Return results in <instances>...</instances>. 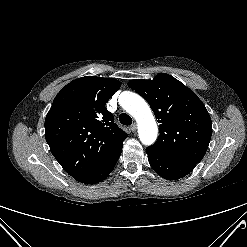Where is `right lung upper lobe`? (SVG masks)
<instances>
[{
	"label": "right lung upper lobe",
	"mask_w": 247,
	"mask_h": 247,
	"mask_svg": "<svg viewBox=\"0 0 247 247\" xmlns=\"http://www.w3.org/2000/svg\"><path fill=\"white\" fill-rule=\"evenodd\" d=\"M120 86L116 79L86 76L67 84L53 101L45 138L53 156L75 179L122 149L127 134L105 107Z\"/></svg>",
	"instance_id": "obj_1"
}]
</instances>
